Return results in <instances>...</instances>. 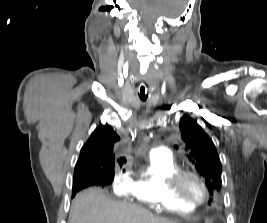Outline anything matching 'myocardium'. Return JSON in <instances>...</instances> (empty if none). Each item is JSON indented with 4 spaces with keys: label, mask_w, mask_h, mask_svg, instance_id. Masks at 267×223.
I'll return each instance as SVG.
<instances>
[{
    "label": "myocardium",
    "mask_w": 267,
    "mask_h": 223,
    "mask_svg": "<svg viewBox=\"0 0 267 223\" xmlns=\"http://www.w3.org/2000/svg\"><path fill=\"white\" fill-rule=\"evenodd\" d=\"M187 178H193L200 184L203 190L201 198H192L185 192L184 183ZM168 190L174 198L191 206H198L204 203L209 196V189L206 181L199 173L191 170H180L173 174L168 180Z\"/></svg>",
    "instance_id": "1"
}]
</instances>
